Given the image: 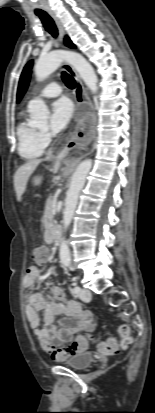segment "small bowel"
<instances>
[{"instance_id":"c3829d8e","label":"small bowel","mask_w":155,"mask_h":413,"mask_svg":"<svg viewBox=\"0 0 155 413\" xmlns=\"http://www.w3.org/2000/svg\"><path fill=\"white\" fill-rule=\"evenodd\" d=\"M45 238L51 240L50 230L46 231ZM41 275L42 271L38 266H30L24 278V286L27 289L32 288ZM49 294V298L39 293L31 294L25 308L29 326L43 348L47 343L60 346L70 342L76 332L92 331L95 328L96 319L93 315L84 311L78 302L68 299L60 287H50ZM39 311H43L42 320ZM60 314L64 315V318L60 321L59 327H56L54 320ZM87 346L88 342L84 339L75 351L60 356L59 360L83 353Z\"/></svg>"}]
</instances>
